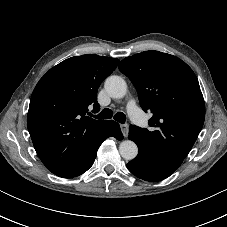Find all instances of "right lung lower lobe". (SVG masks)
Listing matches in <instances>:
<instances>
[{
  "label": "right lung lower lobe",
  "mask_w": 227,
  "mask_h": 227,
  "mask_svg": "<svg viewBox=\"0 0 227 227\" xmlns=\"http://www.w3.org/2000/svg\"><path fill=\"white\" fill-rule=\"evenodd\" d=\"M121 133L118 123L111 121L109 126L102 132L96 141L69 167L59 171L56 175L63 178H73L87 171L96 158L97 151L102 142L110 136H116Z\"/></svg>",
  "instance_id": "right-lung-lower-lobe-1"
}]
</instances>
